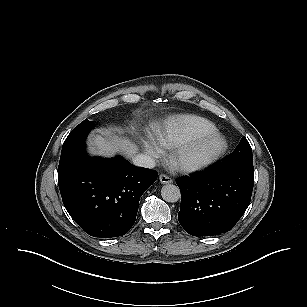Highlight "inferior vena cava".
Wrapping results in <instances>:
<instances>
[{
	"label": "inferior vena cava",
	"instance_id": "inferior-vena-cava-1",
	"mask_svg": "<svg viewBox=\"0 0 307 307\" xmlns=\"http://www.w3.org/2000/svg\"><path fill=\"white\" fill-rule=\"evenodd\" d=\"M132 162L136 166L145 167V168H154L155 160L146 154H138L133 157Z\"/></svg>",
	"mask_w": 307,
	"mask_h": 307
}]
</instances>
